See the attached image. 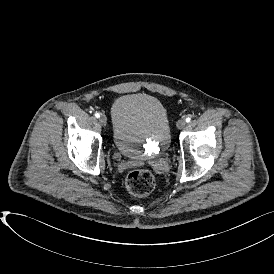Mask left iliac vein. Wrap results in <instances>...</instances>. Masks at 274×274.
Returning <instances> with one entry per match:
<instances>
[{
  "instance_id": "4c4485c4",
  "label": "left iliac vein",
  "mask_w": 274,
  "mask_h": 274,
  "mask_svg": "<svg viewBox=\"0 0 274 274\" xmlns=\"http://www.w3.org/2000/svg\"><path fill=\"white\" fill-rule=\"evenodd\" d=\"M176 126L178 129H183L186 126V121L184 119H180L177 121Z\"/></svg>"
}]
</instances>
